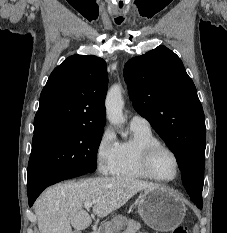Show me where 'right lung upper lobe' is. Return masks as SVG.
Here are the masks:
<instances>
[{"mask_svg": "<svg viewBox=\"0 0 227 233\" xmlns=\"http://www.w3.org/2000/svg\"><path fill=\"white\" fill-rule=\"evenodd\" d=\"M107 68L93 55L66 58L40 95L34 133L55 127H104Z\"/></svg>", "mask_w": 227, "mask_h": 233, "instance_id": "obj_1", "label": "right lung upper lobe"}]
</instances>
